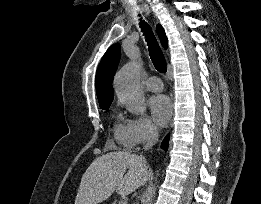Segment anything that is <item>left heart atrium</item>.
I'll return each mask as SVG.
<instances>
[{
  "label": "left heart atrium",
  "mask_w": 261,
  "mask_h": 204,
  "mask_svg": "<svg viewBox=\"0 0 261 204\" xmlns=\"http://www.w3.org/2000/svg\"><path fill=\"white\" fill-rule=\"evenodd\" d=\"M149 106L155 122L160 126H165L172 115V106L169 99L164 95H156L150 98Z\"/></svg>",
  "instance_id": "obj_1"
}]
</instances>
